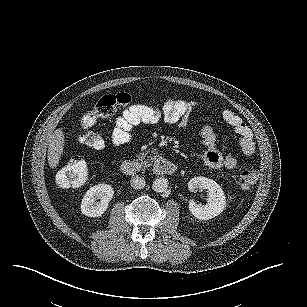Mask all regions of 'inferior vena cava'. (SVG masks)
<instances>
[{
	"label": "inferior vena cava",
	"mask_w": 307,
	"mask_h": 307,
	"mask_svg": "<svg viewBox=\"0 0 307 307\" xmlns=\"http://www.w3.org/2000/svg\"><path fill=\"white\" fill-rule=\"evenodd\" d=\"M130 184H131L133 189L141 190V189H143L145 187L146 182H145L143 177H141L139 175H136V176H133L131 178Z\"/></svg>",
	"instance_id": "inferior-vena-cava-1"
}]
</instances>
